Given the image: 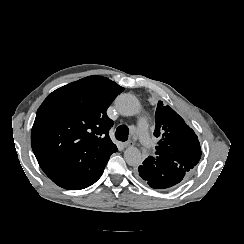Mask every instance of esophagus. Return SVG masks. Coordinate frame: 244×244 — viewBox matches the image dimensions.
Segmentation results:
<instances>
[{
	"label": "esophagus",
	"instance_id": "1",
	"mask_svg": "<svg viewBox=\"0 0 244 244\" xmlns=\"http://www.w3.org/2000/svg\"><path fill=\"white\" fill-rule=\"evenodd\" d=\"M133 144H134V143H133L132 141L124 142V143H123V147H124V148H127V147H130V146H133Z\"/></svg>",
	"mask_w": 244,
	"mask_h": 244
}]
</instances>
